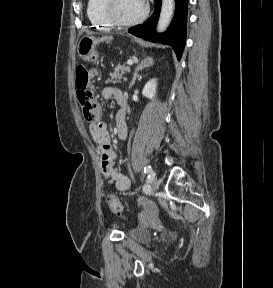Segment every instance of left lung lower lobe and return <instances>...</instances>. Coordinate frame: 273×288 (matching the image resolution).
Returning <instances> with one entry per match:
<instances>
[{"label": "left lung lower lobe", "mask_w": 273, "mask_h": 288, "mask_svg": "<svg viewBox=\"0 0 273 288\" xmlns=\"http://www.w3.org/2000/svg\"><path fill=\"white\" fill-rule=\"evenodd\" d=\"M161 0H155V10L152 16L143 24L132 27L129 33L151 42H160L170 45L180 60L186 41V24L188 0H175V14L169 29L161 34L156 32Z\"/></svg>", "instance_id": "1"}]
</instances>
